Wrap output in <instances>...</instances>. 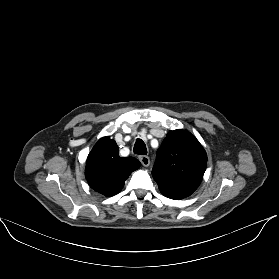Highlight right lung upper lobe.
<instances>
[{"label":"right lung upper lobe","mask_w":279,"mask_h":279,"mask_svg":"<svg viewBox=\"0 0 279 279\" xmlns=\"http://www.w3.org/2000/svg\"><path fill=\"white\" fill-rule=\"evenodd\" d=\"M140 165L134 157H120L116 142L103 137L88 155L85 177L92 189L109 197L120 192L125 180Z\"/></svg>","instance_id":"obj_1"}]
</instances>
